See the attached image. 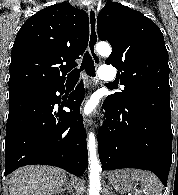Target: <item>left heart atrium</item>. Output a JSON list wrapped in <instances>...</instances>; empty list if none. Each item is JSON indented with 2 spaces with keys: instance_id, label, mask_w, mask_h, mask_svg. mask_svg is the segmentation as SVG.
I'll return each instance as SVG.
<instances>
[{
  "instance_id": "left-heart-atrium-1",
  "label": "left heart atrium",
  "mask_w": 178,
  "mask_h": 195,
  "mask_svg": "<svg viewBox=\"0 0 178 195\" xmlns=\"http://www.w3.org/2000/svg\"><path fill=\"white\" fill-rule=\"evenodd\" d=\"M95 110V104L93 101H88L82 108L84 114L89 115L92 114Z\"/></svg>"
}]
</instances>
